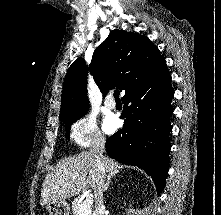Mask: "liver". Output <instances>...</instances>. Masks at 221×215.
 <instances>
[{"label":"liver","mask_w":221,"mask_h":215,"mask_svg":"<svg viewBox=\"0 0 221 215\" xmlns=\"http://www.w3.org/2000/svg\"><path fill=\"white\" fill-rule=\"evenodd\" d=\"M105 171L109 175L119 172L118 163L104 157ZM99 175L98 165L91 151L66 157L60 160L49 172L42 184L41 200L43 205L65 200L78 195L90 186L94 189Z\"/></svg>","instance_id":"obj_1"}]
</instances>
